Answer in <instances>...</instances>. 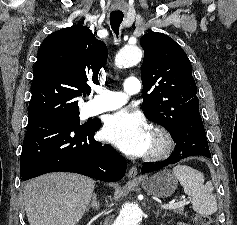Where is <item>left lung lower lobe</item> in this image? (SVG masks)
<instances>
[{"label":"left lung lower lobe","mask_w":237,"mask_h":225,"mask_svg":"<svg viewBox=\"0 0 237 225\" xmlns=\"http://www.w3.org/2000/svg\"><path fill=\"white\" fill-rule=\"evenodd\" d=\"M171 134L176 143L171 157L163 162L144 163L142 173L156 171L189 156L203 155L208 158L211 156L199 112L189 115L183 123L171 131Z\"/></svg>","instance_id":"0a47b994"}]
</instances>
